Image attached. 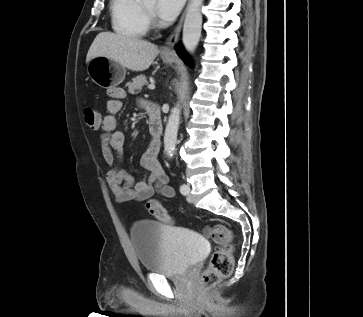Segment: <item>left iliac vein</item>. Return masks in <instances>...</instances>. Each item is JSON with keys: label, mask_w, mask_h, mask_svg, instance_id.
Wrapping results in <instances>:
<instances>
[{"label": "left iliac vein", "mask_w": 363, "mask_h": 317, "mask_svg": "<svg viewBox=\"0 0 363 317\" xmlns=\"http://www.w3.org/2000/svg\"><path fill=\"white\" fill-rule=\"evenodd\" d=\"M186 186H187V195H188L187 200H188V202H192V197H191V194H190L191 188H190L189 185H186Z\"/></svg>", "instance_id": "obj_1"}]
</instances>
